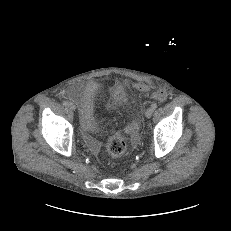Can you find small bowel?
I'll list each match as a JSON object with an SVG mask.
<instances>
[{
  "label": "small bowel",
  "instance_id": "c3829d8e",
  "mask_svg": "<svg viewBox=\"0 0 231 231\" xmlns=\"http://www.w3.org/2000/svg\"><path fill=\"white\" fill-rule=\"evenodd\" d=\"M98 88L99 85L96 81L89 80L84 83L73 84L67 91L69 97L81 104V124L84 131L83 137L91 151L95 153L99 150V143L92 136V133L97 132L99 126L93 117V98ZM123 98L124 97L114 95V102L119 103ZM135 137L136 134H133V138Z\"/></svg>",
  "mask_w": 231,
  "mask_h": 231
}]
</instances>
